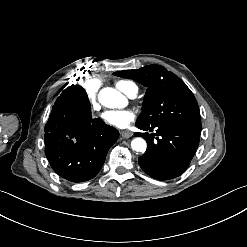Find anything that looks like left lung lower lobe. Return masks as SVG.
I'll return each instance as SVG.
<instances>
[{
  "mask_svg": "<svg viewBox=\"0 0 247 247\" xmlns=\"http://www.w3.org/2000/svg\"><path fill=\"white\" fill-rule=\"evenodd\" d=\"M139 129L153 131L151 127ZM156 134L135 133L147 141L146 152L138 162L143 171L157 180L180 176L189 166L199 144L200 133L178 125L157 126ZM154 136L156 140H154Z\"/></svg>",
  "mask_w": 247,
  "mask_h": 247,
  "instance_id": "1",
  "label": "left lung lower lobe"
}]
</instances>
